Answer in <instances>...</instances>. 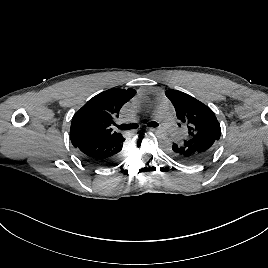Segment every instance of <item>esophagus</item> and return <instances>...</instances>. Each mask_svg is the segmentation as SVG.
<instances>
[{
  "label": "esophagus",
  "instance_id": "esophagus-1",
  "mask_svg": "<svg viewBox=\"0 0 268 268\" xmlns=\"http://www.w3.org/2000/svg\"><path fill=\"white\" fill-rule=\"evenodd\" d=\"M148 130H150V131H156V128H154V127H149Z\"/></svg>",
  "mask_w": 268,
  "mask_h": 268
}]
</instances>
